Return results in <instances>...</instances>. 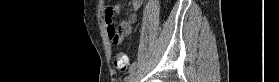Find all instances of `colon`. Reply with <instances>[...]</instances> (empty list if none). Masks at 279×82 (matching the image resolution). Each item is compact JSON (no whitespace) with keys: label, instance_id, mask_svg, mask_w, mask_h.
<instances>
[{"label":"colon","instance_id":"1","mask_svg":"<svg viewBox=\"0 0 279 82\" xmlns=\"http://www.w3.org/2000/svg\"><path fill=\"white\" fill-rule=\"evenodd\" d=\"M114 66L121 72H125L129 66V58L124 51H120L114 58Z\"/></svg>","mask_w":279,"mask_h":82}]
</instances>
